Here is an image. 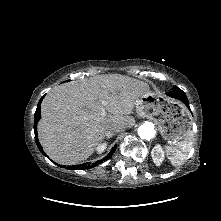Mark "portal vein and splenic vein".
<instances>
[{
    "instance_id": "1",
    "label": "portal vein and splenic vein",
    "mask_w": 221,
    "mask_h": 221,
    "mask_svg": "<svg viewBox=\"0 0 221 221\" xmlns=\"http://www.w3.org/2000/svg\"><path fill=\"white\" fill-rule=\"evenodd\" d=\"M102 112H103V113H105V110H104V108H103V107H102Z\"/></svg>"
}]
</instances>
